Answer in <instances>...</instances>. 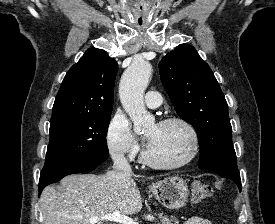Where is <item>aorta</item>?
Wrapping results in <instances>:
<instances>
[{
  "label": "aorta",
  "instance_id": "1",
  "mask_svg": "<svg viewBox=\"0 0 275 224\" xmlns=\"http://www.w3.org/2000/svg\"><path fill=\"white\" fill-rule=\"evenodd\" d=\"M152 66L145 60L134 61L123 73L119 85L121 103L140 134L154 124V117L147 112L143 95L147 88Z\"/></svg>",
  "mask_w": 275,
  "mask_h": 224
}]
</instances>
